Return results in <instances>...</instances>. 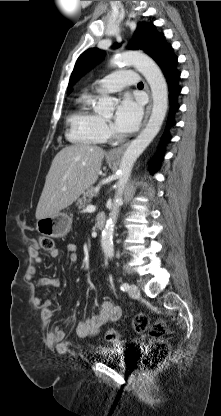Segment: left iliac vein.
<instances>
[{
  "instance_id": "left-iliac-vein-1",
  "label": "left iliac vein",
  "mask_w": 221,
  "mask_h": 416,
  "mask_svg": "<svg viewBox=\"0 0 221 416\" xmlns=\"http://www.w3.org/2000/svg\"><path fill=\"white\" fill-rule=\"evenodd\" d=\"M129 295L132 298H137L140 295V290L136 284H131L129 289Z\"/></svg>"
}]
</instances>
